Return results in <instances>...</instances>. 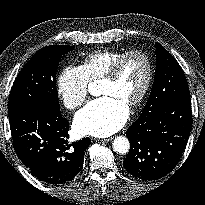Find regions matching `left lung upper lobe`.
Instances as JSON below:
<instances>
[{
	"label": "left lung upper lobe",
	"mask_w": 205,
	"mask_h": 205,
	"mask_svg": "<svg viewBox=\"0 0 205 205\" xmlns=\"http://www.w3.org/2000/svg\"><path fill=\"white\" fill-rule=\"evenodd\" d=\"M155 47V79L140 117L156 112L161 106L176 97L190 95L188 83L180 65L162 45L155 42Z\"/></svg>",
	"instance_id": "left-lung-upper-lobe-1"
}]
</instances>
